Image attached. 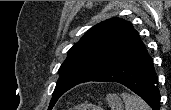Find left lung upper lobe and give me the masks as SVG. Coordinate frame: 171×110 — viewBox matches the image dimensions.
I'll return each instance as SVG.
<instances>
[{"instance_id":"obj_1","label":"left lung upper lobe","mask_w":171,"mask_h":110,"mask_svg":"<svg viewBox=\"0 0 171 110\" xmlns=\"http://www.w3.org/2000/svg\"><path fill=\"white\" fill-rule=\"evenodd\" d=\"M142 44L132 24L124 19L111 18L93 26L73 45L59 68L48 110L67 90L120 64Z\"/></svg>"}]
</instances>
